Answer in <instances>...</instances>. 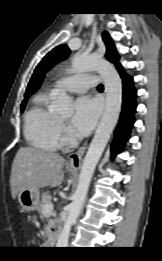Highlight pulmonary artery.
<instances>
[{
  "label": "pulmonary artery",
  "mask_w": 162,
  "mask_h": 261,
  "mask_svg": "<svg viewBox=\"0 0 162 261\" xmlns=\"http://www.w3.org/2000/svg\"><path fill=\"white\" fill-rule=\"evenodd\" d=\"M97 82L98 76L91 74H75L58 79L53 86L71 93H81L88 88L95 87Z\"/></svg>",
  "instance_id": "e3ab8cb5"
}]
</instances>
